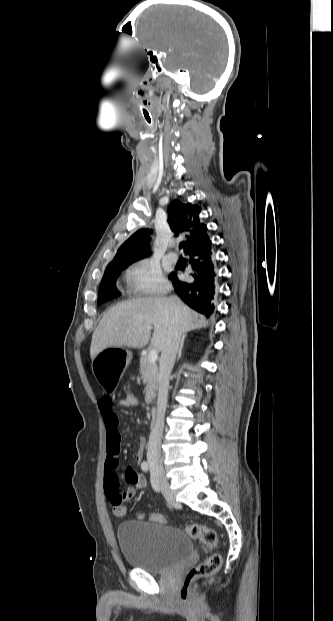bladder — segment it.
Wrapping results in <instances>:
<instances>
[{
    "label": "bladder",
    "instance_id": "obj_1",
    "mask_svg": "<svg viewBox=\"0 0 333 621\" xmlns=\"http://www.w3.org/2000/svg\"><path fill=\"white\" fill-rule=\"evenodd\" d=\"M125 561L149 573L164 574L187 558L191 546L179 529L150 520H129L116 532Z\"/></svg>",
    "mask_w": 333,
    "mask_h": 621
}]
</instances>
